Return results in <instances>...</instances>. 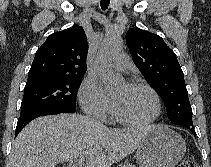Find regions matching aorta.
I'll return each mask as SVG.
<instances>
[{"label": "aorta", "instance_id": "1", "mask_svg": "<svg viewBox=\"0 0 211 167\" xmlns=\"http://www.w3.org/2000/svg\"><path fill=\"white\" fill-rule=\"evenodd\" d=\"M123 48V40L118 36H108L101 44L98 54V71L102 83L108 90L122 84L123 78L108 67L109 61Z\"/></svg>", "mask_w": 211, "mask_h": 167}]
</instances>
